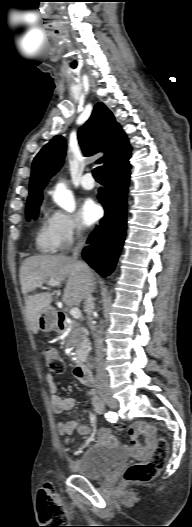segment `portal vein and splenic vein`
<instances>
[{"label": "portal vein and splenic vein", "mask_w": 192, "mask_h": 527, "mask_svg": "<svg viewBox=\"0 0 192 527\" xmlns=\"http://www.w3.org/2000/svg\"><path fill=\"white\" fill-rule=\"evenodd\" d=\"M47 285H50V286H58L60 285V282L58 281H55V280H49L47 282ZM39 287H42V284H39L38 285ZM70 314L72 315V317L74 319H80L81 318V311L78 309V308H72L70 310Z\"/></svg>", "instance_id": "18ae733b"}]
</instances>
